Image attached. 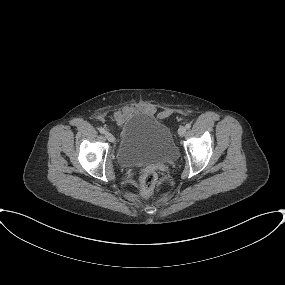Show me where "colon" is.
<instances>
[{"instance_id":"1","label":"colon","mask_w":285,"mask_h":285,"mask_svg":"<svg viewBox=\"0 0 285 285\" xmlns=\"http://www.w3.org/2000/svg\"><path fill=\"white\" fill-rule=\"evenodd\" d=\"M157 176L154 171L147 170L140 179V193L144 196L149 195L155 188Z\"/></svg>"}]
</instances>
